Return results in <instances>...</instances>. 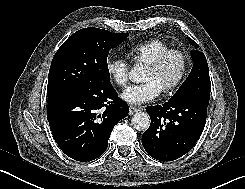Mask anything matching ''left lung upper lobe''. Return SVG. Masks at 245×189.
<instances>
[{
	"instance_id": "1",
	"label": "left lung upper lobe",
	"mask_w": 245,
	"mask_h": 189,
	"mask_svg": "<svg viewBox=\"0 0 245 189\" xmlns=\"http://www.w3.org/2000/svg\"><path fill=\"white\" fill-rule=\"evenodd\" d=\"M191 44L197 47V44L189 39ZM191 57L193 67L185 82L180 86L177 92L171 97V100L182 99L185 97H197L209 101L211 82L209 77V68L205 55L192 50Z\"/></svg>"
}]
</instances>
